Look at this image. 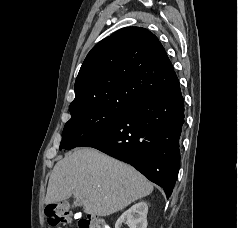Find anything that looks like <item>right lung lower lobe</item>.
Masks as SVG:
<instances>
[{
	"label": "right lung lower lobe",
	"instance_id": "right-lung-lower-lobe-1",
	"mask_svg": "<svg viewBox=\"0 0 238 228\" xmlns=\"http://www.w3.org/2000/svg\"><path fill=\"white\" fill-rule=\"evenodd\" d=\"M184 100L179 82L131 103L121 116L78 147H93L129 163L172 194L180 166Z\"/></svg>",
	"mask_w": 238,
	"mask_h": 228
}]
</instances>
